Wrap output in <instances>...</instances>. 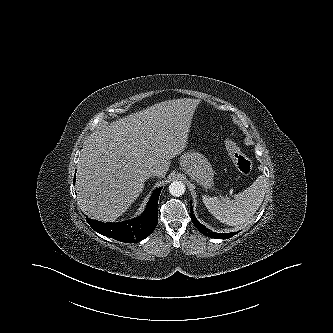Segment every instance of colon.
Returning <instances> with one entry per match:
<instances>
[{
  "label": "colon",
  "instance_id": "obj_1",
  "mask_svg": "<svg viewBox=\"0 0 333 333\" xmlns=\"http://www.w3.org/2000/svg\"><path fill=\"white\" fill-rule=\"evenodd\" d=\"M225 148L238 172L247 175L252 171V163L250 159L241 151L239 146L232 139H227L225 141Z\"/></svg>",
  "mask_w": 333,
  "mask_h": 333
}]
</instances>
